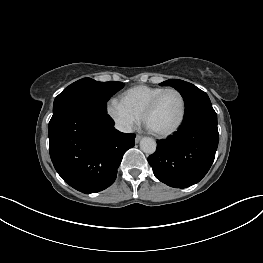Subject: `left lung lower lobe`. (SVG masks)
Returning a JSON list of instances; mask_svg holds the SVG:
<instances>
[{
    "label": "left lung lower lobe",
    "instance_id": "obj_1",
    "mask_svg": "<svg viewBox=\"0 0 263 263\" xmlns=\"http://www.w3.org/2000/svg\"><path fill=\"white\" fill-rule=\"evenodd\" d=\"M218 146L217 114L212 106L186 116L178 131L157 142L148 162L157 179L175 188L199 182L210 169Z\"/></svg>",
    "mask_w": 263,
    "mask_h": 263
}]
</instances>
